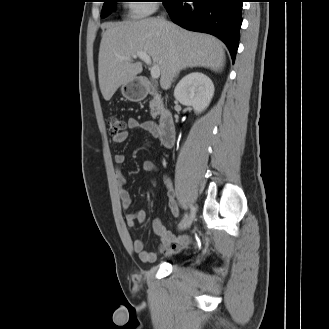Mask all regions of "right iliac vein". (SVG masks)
Returning <instances> with one entry per match:
<instances>
[{
	"instance_id": "63e3f726",
	"label": "right iliac vein",
	"mask_w": 329,
	"mask_h": 329,
	"mask_svg": "<svg viewBox=\"0 0 329 329\" xmlns=\"http://www.w3.org/2000/svg\"><path fill=\"white\" fill-rule=\"evenodd\" d=\"M193 216H185L184 218H183V220H182V222H181V224H180V226H179V228L181 229V230H184V229H187V228H189L190 227V225H191V223H192V221H193Z\"/></svg>"
}]
</instances>
